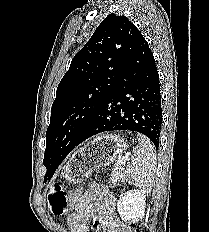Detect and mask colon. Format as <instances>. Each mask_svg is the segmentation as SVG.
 <instances>
[{
    "label": "colon",
    "mask_w": 209,
    "mask_h": 232,
    "mask_svg": "<svg viewBox=\"0 0 209 232\" xmlns=\"http://www.w3.org/2000/svg\"><path fill=\"white\" fill-rule=\"evenodd\" d=\"M77 199V195L73 194L71 196V201H75ZM69 197L66 191L59 185H53L50 188V192L48 194V204L49 209L54 215H62L67 207ZM130 232H140L139 229Z\"/></svg>",
    "instance_id": "5ec220e1"
}]
</instances>
